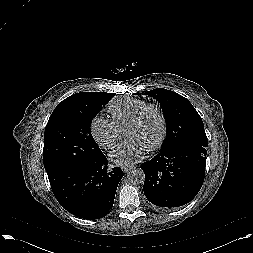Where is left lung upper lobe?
<instances>
[{"label":"left lung upper lobe","instance_id":"5c2ea615","mask_svg":"<svg viewBox=\"0 0 253 253\" xmlns=\"http://www.w3.org/2000/svg\"><path fill=\"white\" fill-rule=\"evenodd\" d=\"M159 101L166 121L161 150L184 143L208 146L204 125L193 105L183 96L163 88L145 93Z\"/></svg>","mask_w":253,"mask_h":253}]
</instances>
